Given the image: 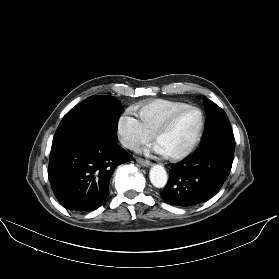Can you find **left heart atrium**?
I'll return each mask as SVG.
<instances>
[{
	"label": "left heart atrium",
	"mask_w": 279,
	"mask_h": 279,
	"mask_svg": "<svg viewBox=\"0 0 279 279\" xmlns=\"http://www.w3.org/2000/svg\"><path fill=\"white\" fill-rule=\"evenodd\" d=\"M151 152L157 154V155H160V156H166V153L165 151L162 149V147L159 145V144H155L152 149H151Z\"/></svg>",
	"instance_id": "39dd6f15"
}]
</instances>
